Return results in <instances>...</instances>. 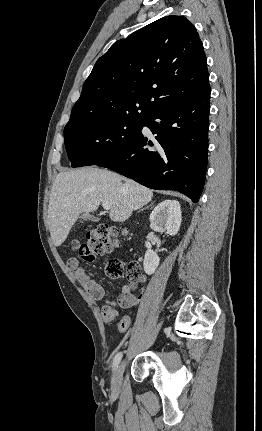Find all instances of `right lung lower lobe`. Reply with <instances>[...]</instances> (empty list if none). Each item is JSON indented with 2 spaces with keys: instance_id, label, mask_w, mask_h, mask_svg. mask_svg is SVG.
<instances>
[{
  "instance_id": "right-lung-lower-lobe-1",
  "label": "right lung lower lobe",
  "mask_w": 262,
  "mask_h": 431,
  "mask_svg": "<svg viewBox=\"0 0 262 431\" xmlns=\"http://www.w3.org/2000/svg\"><path fill=\"white\" fill-rule=\"evenodd\" d=\"M209 106L208 84L194 97L145 119L143 126L156 134L153 142L141 128L124 147L95 165L152 189L179 191L198 202L207 166Z\"/></svg>"
}]
</instances>
